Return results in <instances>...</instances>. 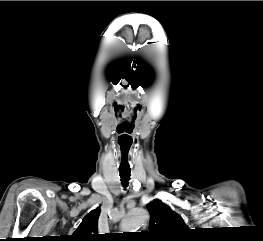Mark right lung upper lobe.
Returning <instances> with one entry per match:
<instances>
[{"label": "right lung upper lobe", "instance_id": "obj_1", "mask_svg": "<svg viewBox=\"0 0 263 241\" xmlns=\"http://www.w3.org/2000/svg\"><path fill=\"white\" fill-rule=\"evenodd\" d=\"M100 215V207L89 212L77 228L70 236L71 241H103L104 236L98 234V218Z\"/></svg>", "mask_w": 263, "mask_h": 241}]
</instances>
